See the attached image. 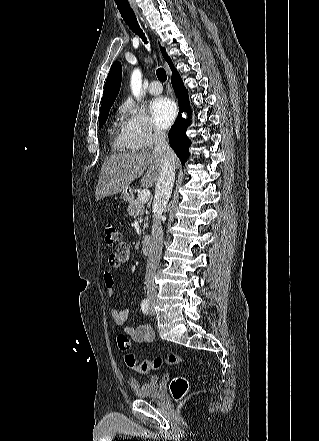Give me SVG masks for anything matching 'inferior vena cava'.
<instances>
[{
  "label": "inferior vena cava",
  "mask_w": 319,
  "mask_h": 441,
  "mask_svg": "<svg viewBox=\"0 0 319 441\" xmlns=\"http://www.w3.org/2000/svg\"><path fill=\"white\" fill-rule=\"evenodd\" d=\"M154 141L155 147L153 149V155L161 161V171L155 187L153 204L154 207L157 208V212L153 215L151 247L145 274L146 294L149 298L154 297L157 294L154 275L162 254L163 230L161 215L171 196L175 179V155L166 141L165 133L159 130L155 131Z\"/></svg>",
  "instance_id": "inferior-vena-cava-1"
}]
</instances>
